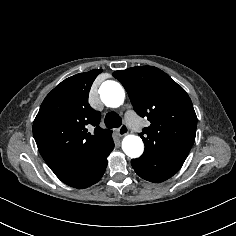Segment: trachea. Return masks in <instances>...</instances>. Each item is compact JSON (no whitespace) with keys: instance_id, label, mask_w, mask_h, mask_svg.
<instances>
[{"instance_id":"3493384b","label":"trachea","mask_w":236,"mask_h":236,"mask_svg":"<svg viewBox=\"0 0 236 236\" xmlns=\"http://www.w3.org/2000/svg\"><path fill=\"white\" fill-rule=\"evenodd\" d=\"M104 121L107 128H120L122 124L121 117L114 112L107 113Z\"/></svg>"}]
</instances>
